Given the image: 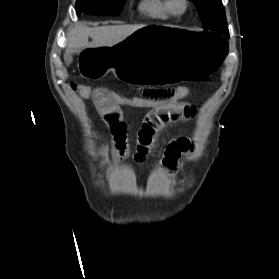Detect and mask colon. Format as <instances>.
<instances>
[{
  "mask_svg": "<svg viewBox=\"0 0 279 279\" xmlns=\"http://www.w3.org/2000/svg\"><path fill=\"white\" fill-rule=\"evenodd\" d=\"M71 87L75 92L85 98H91L97 89H103L112 102L116 103L120 107L124 106L132 108H148L160 105L162 103H175L179 102L181 99L187 97L190 94V89L187 86L165 89L163 94L159 96L141 94L137 96H127L124 93L111 91L106 88L81 85L77 83H73Z\"/></svg>",
  "mask_w": 279,
  "mask_h": 279,
  "instance_id": "colon-1",
  "label": "colon"
}]
</instances>
